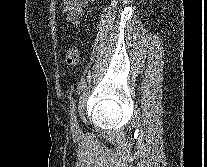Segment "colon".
<instances>
[{"label":"colon","instance_id":"colon-1","mask_svg":"<svg viewBox=\"0 0 207 167\" xmlns=\"http://www.w3.org/2000/svg\"><path fill=\"white\" fill-rule=\"evenodd\" d=\"M79 62V49L77 46H72L66 51L65 65L66 67H74Z\"/></svg>","mask_w":207,"mask_h":167}]
</instances>
